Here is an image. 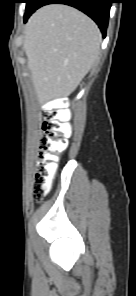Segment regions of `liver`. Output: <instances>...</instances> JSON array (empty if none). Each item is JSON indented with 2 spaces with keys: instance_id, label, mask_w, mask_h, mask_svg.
Returning <instances> with one entry per match:
<instances>
[{
  "instance_id": "liver-1",
  "label": "liver",
  "mask_w": 136,
  "mask_h": 296,
  "mask_svg": "<svg viewBox=\"0 0 136 296\" xmlns=\"http://www.w3.org/2000/svg\"><path fill=\"white\" fill-rule=\"evenodd\" d=\"M101 39L97 25L77 9L39 8L25 25L23 41L38 101L70 95L96 62Z\"/></svg>"
}]
</instances>
